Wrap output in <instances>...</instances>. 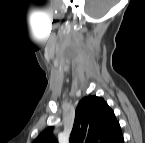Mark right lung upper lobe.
Returning a JSON list of instances; mask_svg holds the SVG:
<instances>
[{"label": "right lung upper lobe", "mask_w": 145, "mask_h": 143, "mask_svg": "<svg viewBox=\"0 0 145 143\" xmlns=\"http://www.w3.org/2000/svg\"><path fill=\"white\" fill-rule=\"evenodd\" d=\"M53 127L45 129L35 143H57ZM70 143H123L114 112L97 96L84 97L78 104Z\"/></svg>", "instance_id": "1"}]
</instances>
